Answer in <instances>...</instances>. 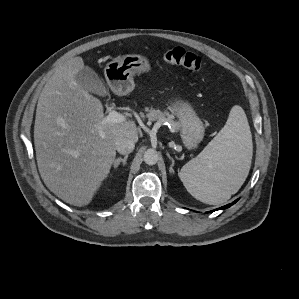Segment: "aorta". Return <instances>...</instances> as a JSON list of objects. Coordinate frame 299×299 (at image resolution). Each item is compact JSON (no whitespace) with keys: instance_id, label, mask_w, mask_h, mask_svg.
<instances>
[{"instance_id":"obj_1","label":"aorta","mask_w":299,"mask_h":299,"mask_svg":"<svg viewBox=\"0 0 299 299\" xmlns=\"http://www.w3.org/2000/svg\"><path fill=\"white\" fill-rule=\"evenodd\" d=\"M159 155L156 150L148 149L144 153V162L148 165H155L158 162Z\"/></svg>"}]
</instances>
